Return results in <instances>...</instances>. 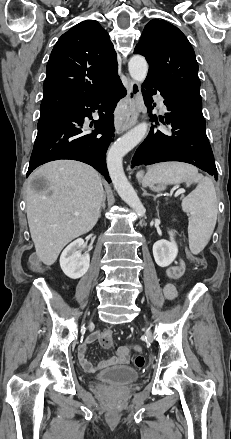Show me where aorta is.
I'll return each instance as SVG.
<instances>
[{
	"instance_id": "aorta-1",
	"label": "aorta",
	"mask_w": 231,
	"mask_h": 439,
	"mask_svg": "<svg viewBox=\"0 0 231 439\" xmlns=\"http://www.w3.org/2000/svg\"><path fill=\"white\" fill-rule=\"evenodd\" d=\"M128 69L132 79L142 83L148 73V64L143 56L134 55L129 60ZM147 131L146 122L138 124L115 141L107 154V168L115 190L140 217L146 210L124 173L122 161L123 157L143 140Z\"/></svg>"
}]
</instances>
